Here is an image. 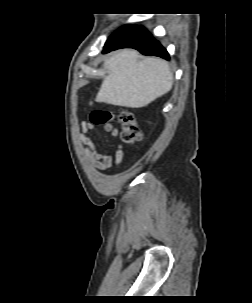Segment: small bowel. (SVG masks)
I'll list each match as a JSON object with an SVG mask.
<instances>
[{
	"mask_svg": "<svg viewBox=\"0 0 252 303\" xmlns=\"http://www.w3.org/2000/svg\"><path fill=\"white\" fill-rule=\"evenodd\" d=\"M94 127L88 121L80 123V131L78 139L81 142L84 150V155L89 163L99 170H107L113 166L118 167L124 158V149L121 144H117L112 154L102 155L96 149L95 144L88 136V132L93 130ZM104 129L111 133L113 139H117L119 132L112 124H107Z\"/></svg>",
	"mask_w": 252,
	"mask_h": 303,
	"instance_id": "obj_1",
	"label": "small bowel"
}]
</instances>
